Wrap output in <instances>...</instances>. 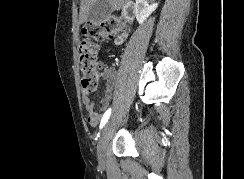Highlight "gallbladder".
I'll return each instance as SVG.
<instances>
[{
    "instance_id": "gallbladder-1",
    "label": "gallbladder",
    "mask_w": 244,
    "mask_h": 179,
    "mask_svg": "<svg viewBox=\"0 0 244 179\" xmlns=\"http://www.w3.org/2000/svg\"><path fill=\"white\" fill-rule=\"evenodd\" d=\"M112 12L113 8L110 0H96L88 14V22H92V24L104 22Z\"/></svg>"
}]
</instances>
